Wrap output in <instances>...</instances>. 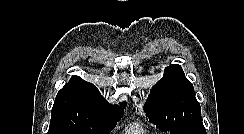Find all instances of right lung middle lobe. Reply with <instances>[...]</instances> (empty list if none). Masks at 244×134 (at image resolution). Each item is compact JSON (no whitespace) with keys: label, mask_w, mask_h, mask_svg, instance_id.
Wrapping results in <instances>:
<instances>
[{"label":"right lung middle lobe","mask_w":244,"mask_h":134,"mask_svg":"<svg viewBox=\"0 0 244 134\" xmlns=\"http://www.w3.org/2000/svg\"><path fill=\"white\" fill-rule=\"evenodd\" d=\"M123 114L109 118L51 115L48 134H109Z\"/></svg>","instance_id":"right-lung-middle-lobe-1"}]
</instances>
